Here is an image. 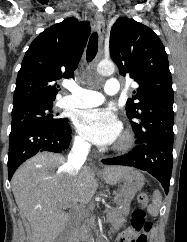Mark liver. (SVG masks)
Wrapping results in <instances>:
<instances>
[{
    "mask_svg": "<svg viewBox=\"0 0 187 242\" xmlns=\"http://www.w3.org/2000/svg\"><path fill=\"white\" fill-rule=\"evenodd\" d=\"M126 169L107 166L102 178L115 185ZM97 188L89 167L71 176L61 155L41 152L23 163L12 178V191L19 210L30 223V242H54L70 220L64 207L86 205Z\"/></svg>",
    "mask_w": 187,
    "mask_h": 242,
    "instance_id": "6515ba94",
    "label": "liver"
}]
</instances>
